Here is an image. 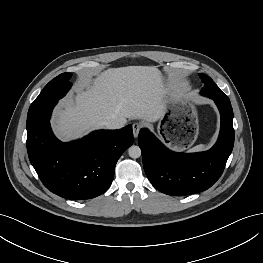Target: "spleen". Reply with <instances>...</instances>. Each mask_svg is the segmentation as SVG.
<instances>
[{
	"label": "spleen",
	"instance_id": "obj_1",
	"mask_svg": "<svg viewBox=\"0 0 263 263\" xmlns=\"http://www.w3.org/2000/svg\"><path fill=\"white\" fill-rule=\"evenodd\" d=\"M204 148H205V145L200 144V145H197V146L191 148L189 151L190 152H198V151H202Z\"/></svg>",
	"mask_w": 263,
	"mask_h": 263
}]
</instances>
